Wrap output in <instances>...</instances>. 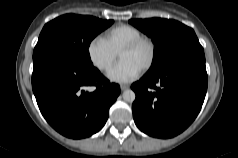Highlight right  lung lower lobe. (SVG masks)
<instances>
[{
	"instance_id": "1",
	"label": "right lung lower lobe",
	"mask_w": 238,
	"mask_h": 158,
	"mask_svg": "<svg viewBox=\"0 0 238 158\" xmlns=\"http://www.w3.org/2000/svg\"><path fill=\"white\" fill-rule=\"evenodd\" d=\"M32 88L46 121L62 135L80 139L98 132L120 94L95 67H86L56 51L33 58ZM95 86L93 92L85 91Z\"/></svg>"
}]
</instances>
